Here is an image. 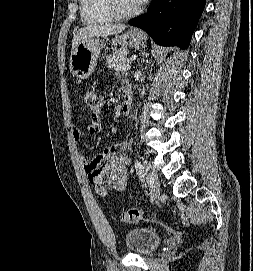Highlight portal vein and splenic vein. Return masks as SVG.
I'll return each mask as SVG.
<instances>
[{"mask_svg":"<svg viewBox=\"0 0 253 271\" xmlns=\"http://www.w3.org/2000/svg\"><path fill=\"white\" fill-rule=\"evenodd\" d=\"M119 68L122 70V71H126V70H129L130 69V65L129 64H122L119 66Z\"/></svg>","mask_w":253,"mask_h":271,"instance_id":"obj_1","label":"portal vein and splenic vein"}]
</instances>
